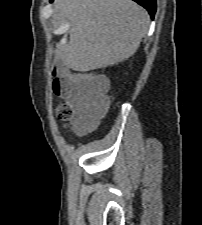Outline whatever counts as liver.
Wrapping results in <instances>:
<instances>
[{"label":"liver","instance_id":"liver-1","mask_svg":"<svg viewBox=\"0 0 202 225\" xmlns=\"http://www.w3.org/2000/svg\"><path fill=\"white\" fill-rule=\"evenodd\" d=\"M55 11L70 24L61 59L86 72L123 62L147 34V11L132 0H57Z\"/></svg>","mask_w":202,"mask_h":225}]
</instances>
